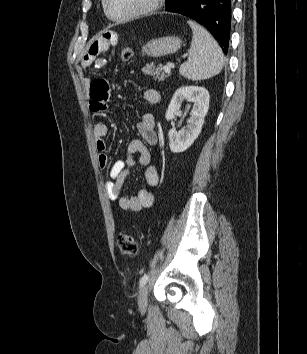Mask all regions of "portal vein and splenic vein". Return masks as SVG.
Segmentation results:
<instances>
[{
    "mask_svg": "<svg viewBox=\"0 0 307 354\" xmlns=\"http://www.w3.org/2000/svg\"><path fill=\"white\" fill-rule=\"evenodd\" d=\"M173 66L172 62H168L166 66L163 67L165 73L169 74L171 72V67Z\"/></svg>",
    "mask_w": 307,
    "mask_h": 354,
    "instance_id": "18ae733b",
    "label": "portal vein and splenic vein"
}]
</instances>
